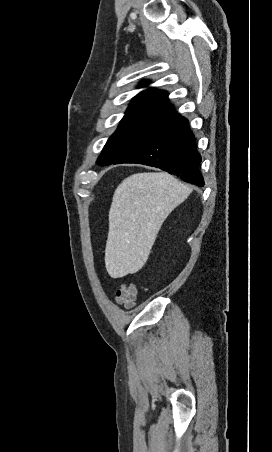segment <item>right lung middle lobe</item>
Returning <instances> with one entry per match:
<instances>
[{"mask_svg":"<svg viewBox=\"0 0 272 452\" xmlns=\"http://www.w3.org/2000/svg\"><path fill=\"white\" fill-rule=\"evenodd\" d=\"M159 117L156 114H126L104 146L97 164L107 166L116 161L144 135Z\"/></svg>","mask_w":272,"mask_h":452,"instance_id":"right-lung-middle-lobe-1","label":"right lung middle lobe"}]
</instances>
